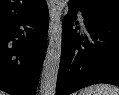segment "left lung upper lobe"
I'll return each mask as SVG.
<instances>
[{"label": "left lung upper lobe", "instance_id": "5c2ea615", "mask_svg": "<svg viewBox=\"0 0 119 95\" xmlns=\"http://www.w3.org/2000/svg\"><path fill=\"white\" fill-rule=\"evenodd\" d=\"M69 3L96 16L119 20V0H70Z\"/></svg>", "mask_w": 119, "mask_h": 95}]
</instances>
